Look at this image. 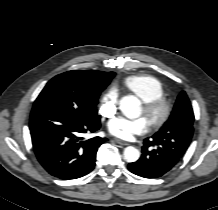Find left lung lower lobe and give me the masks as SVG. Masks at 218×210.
<instances>
[{
  "mask_svg": "<svg viewBox=\"0 0 218 210\" xmlns=\"http://www.w3.org/2000/svg\"><path fill=\"white\" fill-rule=\"evenodd\" d=\"M183 149H166L161 142L146 138L141 158L128 165V169L145 178H157L170 171L182 158Z\"/></svg>",
  "mask_w": 218,
  "mask_h": 210,
  "instance_id": "0a47b994",
  "label": "left lung lower lobe"
}]
</instances>
